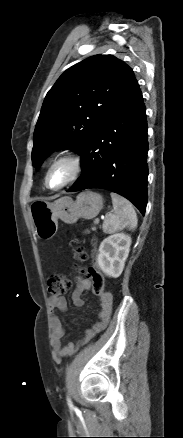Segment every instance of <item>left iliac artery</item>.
<instances>
[{
	"label": "left iliac artery",
	"mask_w": 183,
	"mask_h": 438,
	"mask_svg": "<svg viewBox=\"0 0 183 438\" xmlns=\"http://www.w3.org/2000/svg\"><path fill=\"white\" fill-rule=\"evenodd\" d=\"M68 403H69V405H70V406H72V404H71L70 400H68Z\"/></svg>",
	"instance_id": "left-iliac-artery-1"
}]
</instances>
